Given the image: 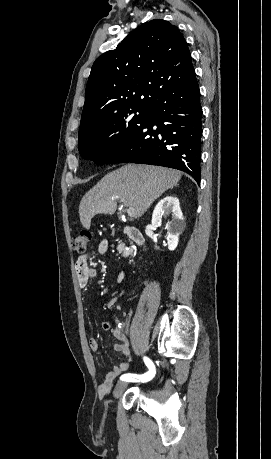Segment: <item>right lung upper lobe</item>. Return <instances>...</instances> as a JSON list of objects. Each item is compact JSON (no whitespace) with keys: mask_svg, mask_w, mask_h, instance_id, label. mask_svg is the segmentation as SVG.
<instances>
[{"mask_svg":"<svg viewBox=\"0 0 271 459\" xmlns=\"http://www.w3.org/2000/svg\"><path fill=\"white\" fill-rule=\"evenodd\" d=\"M195 74L180 30L162 19L142 24L94 62L81 123L147 105Z\"/></svg>","mask_w":271,"mask_h":459,"instance_id":"right-lung-upper-lobe-1","label":"right lung upper lobe"}]
</instances>
